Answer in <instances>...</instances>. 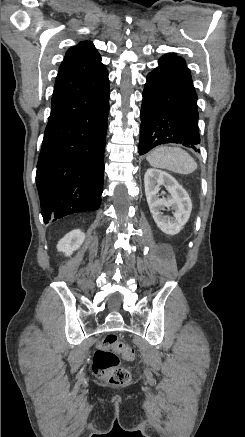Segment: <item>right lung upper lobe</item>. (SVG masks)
Masks as SVG:
<instances>
[{
    "instance_id": "cb5924a9",
    "label": "right lung upper lobe",
    "mask_w": 245,
    "mask_h": 437,
    "mask_svg": "<svg viewBox=\"0 0 245 437\" xmlns=\"http://www.w3.org/2000/svg\"><path fill=\"white\" fill-rule=\"evenodd\" d=\"M108 78L101 56L91 41L67 50L59 67L52 100L86 92Z\"/></svg>"
}]
</instances>
